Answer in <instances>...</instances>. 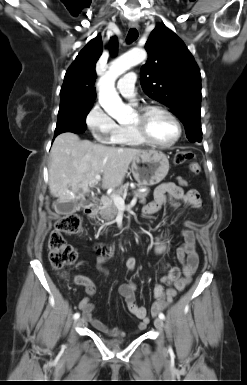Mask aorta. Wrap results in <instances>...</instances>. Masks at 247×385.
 <instances>
[{
    "label": "aorta",
    "instance_id": "1",
    "mask_svg": "<svg viewBox=\"0 0 247 385\" xmlns=\"http://www.w3.org/2000/svg\"><path fill=\"white\" fill-rule=\"evenodd\" d=\"M147 53L143 49H133L114 60L108 71L98 81L99 103L113 118L121 120L131 113V108L124 104L115 89L117 78L131 67L143 62Z\"/></svg>",
    "mask_w": 247,
    "mask_h": 385
}]
</instances>
